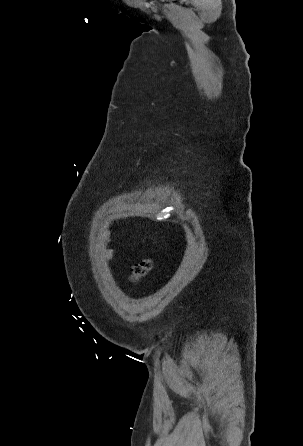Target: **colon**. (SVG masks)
Instances as JSON below:
<instances>
[{"mask_svg":"<svg viewBox=\"0 0 303 446\" xmlns=\"http://www.w3.org/2000/svg\"><path fill=\"white\" fill-rule=\"evenodd\" d=\"M153 267V263L149 259L142 260L135 264L132 270V276L135 280H138L145 276Z\"/></svg>","mask_w":303,"mask_h":446,"instance_id":"obj_1","label":"colon"}]
</instances>
